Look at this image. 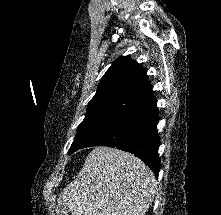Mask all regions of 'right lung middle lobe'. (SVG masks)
Wrapping results in <instances>:
<instances>
[{
	"mask_svg": "<svg viewBox=\"0 0 221 215\" xmlns=\"http://www.w3.org/2000/svg\"><path fill=\"white\" fill-rule=\"evenodd\" d=\"M120 119L121 117L115 115L87 113L78 127V132L72 147L69 150V154L84 147L87 143L104 133Z\"/></svg>",
	"mask_w": 221,
	"mask_h": 215,
	"instance_id": "1",
	"label": "right lung middle lobe"
}]
</instances>
